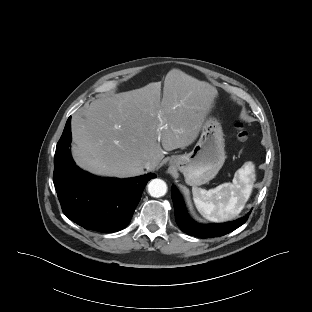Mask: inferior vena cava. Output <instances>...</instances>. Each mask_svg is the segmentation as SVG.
I'll use <instances>...</instances> for the list:
<instances>
[{
  "label": "inferior vena cava",
  "mask_w": 312,
  "mask_h": 312,
  "mask_svg": "<svg viewBox=\"0 0 312 312\" xmlns=\"http://www.w3.org/2000/svg\"><path fill=\"white\" fill-rule=\"evenodd\" d=\"M156 166L157 165L154 161L147 160L144 162V168H146L147 170H154Z\"/></svg>",
  "instance_id": "obj_1"
}]
</instances>
